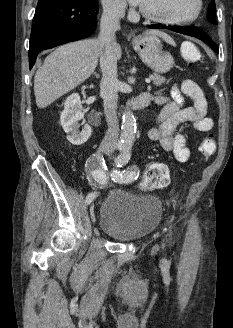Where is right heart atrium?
<instances>
[{"label":"right heart atrium","mask_w":233,"mask_h":328,"mask_svg":"<svg viewBox=\"0 0 233 328\" xmlns=\"http://www.w3.org/2000/svg\"><path fill=\"white\" fill-rule=\"evenodd\" d=\"M104 13L110 17H118L124 10L122 0H101Z\"/></svg>","instance_id":"right-heart-atrium-1"}]
</instances>
